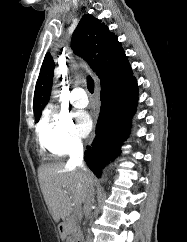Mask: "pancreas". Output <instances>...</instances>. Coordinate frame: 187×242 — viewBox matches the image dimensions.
I'll return each instance as SVG.
<instances>
[{
	"label": "pancreas",
	"instance_id": "obj_1",
	"mask_svg": "<svg viewBox=\"0 0 187 242\" xmlns=\"http://www.w3.org/2000/svg\"><path fill=\"white\" fill-rule=\"evenodd\" d=\"M67 242H79L81 239V228L79 217H72L67 223Z\"/></svg>",
	"mask_w": 187,
	"mask_h": 242
}]
</instances>
